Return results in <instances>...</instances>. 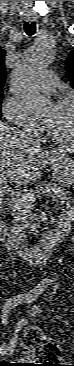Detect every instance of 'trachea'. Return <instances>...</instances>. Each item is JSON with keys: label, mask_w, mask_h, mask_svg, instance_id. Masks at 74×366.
<instances>
[{"label": "trachea", "mask_w": 74, "mask_h": 366, "mask_svg": "<svg viewBox=\"0 0 74 366\" xmlns=\"http://www.w3.org/2000/svg\"><path fill=\"white\" fill-rule=\"evenodd\" d=\"M24 31L29 37L33 36L36 32V23L35 22H31V23L25 22Z\"/></svg>", "instance_id": "obj_1"}]
</instances>
